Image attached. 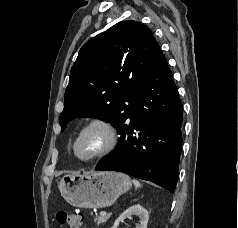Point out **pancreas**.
I'll use <instances>...</instances> for the list:
<instances>
[{"label":"pancreas","instance_id":"cf45deb5","mask_svg":"<svg viewBox=\"0 0 238 228\" xmlns=\"http://www.w3.org/2000/svg\"><path fill=\"white\" fill-rule=\"evenodd\" d=\"M110 218V214H106L104 216H98L96 218H94V222L97 224V225H100V224H103L105 223L108 219Z\"/></svg>","mask_w":238,"mask_h":228}]
</instances>
